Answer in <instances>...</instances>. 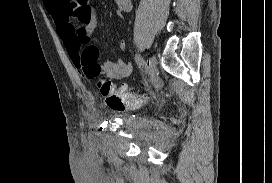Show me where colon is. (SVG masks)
<instances>
[{"instance_id":"5ec220e1","label":"colon","mask_w":272,"mask_h":183,"mask_svg":"<svg viewBox=\"0 0 272 183\" xmlns=\"http://www.w3.org/2000/svg\"><path fill=\"white\" fill-rule=\"evenodd\" d=\"M79 68L94 83L111 109L116 111L132 110L145 103V94L131 93L125 88H116L110 79L102 73L98 64V49L96 46L87 44L83 48Z\"/></svg>"}]
</instances>
